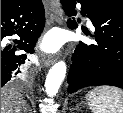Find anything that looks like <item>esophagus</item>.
Returning a JSON list of instances; mask_svg holds the SVG:
<instances>
[{
	"label": "esophagus",
	"mask_w": 123,
	"mask_h": 113,
	"mask_svg": "<svg viewBox=\"0 0 123 113\" xmlns=\"http://www.w3.org/2000/svg\"><path fill=\"white\" fill-rule=\"evenodd\" d=\"M44 5L51 19L55 20L56 22H59L60 21V14H59L60 1L59 0H45ZM41 62L44 67H50L55 62V58L52 56L43 55Z\"/></svg>",
	"instance_id": "1"
}]
</instances>
